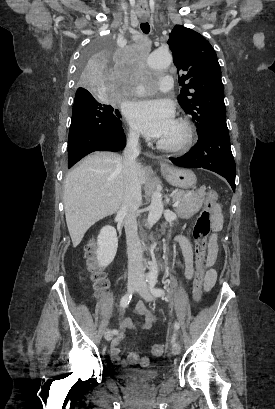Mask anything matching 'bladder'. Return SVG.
Listing matches in <instances>:
<instances>
[{
	"instance_id": "1",
	"label": "bladder",
	"mask_w": 275,
	"mask_h": 409,
	"mask_svg": "<svg viewBox=\"0 0 275 409\" xmlns=\"http://www.w3.org/2000/svg\"><path fill=\"white\" fill-rule=\"evenodd\" d=\"M160 377V373L140 368H126L125 373L120 375V380L122 382H137L144 385H151L155 380Z\"/></svg>"
}]
</instances>
